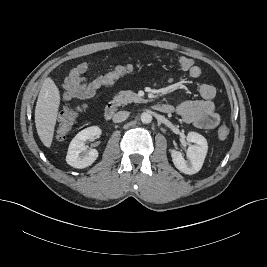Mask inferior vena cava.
Listing matches in <instances>:
<instances>
[{
  "mask_svg": "<svg viewBox=\"0 0 267 267\" xmlns=\"http://www.w3.org/2000/svg\"><path fill=\"white\" fill-rule=\"evenodd\" d=\"M129 116V112L127 111H119L113 116V122L120 123L125 121Z\"/></svg>",
  "mask_w": 267,
  "mask_h": 267,
  "instance_id": "obj_1",
  "label": "inferior vena cava"
}]
</instances>
